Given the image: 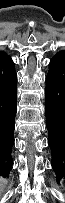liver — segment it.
<instances>
[{
	"label": "liver",
	"instance_id": "1",
	"mask_svg": "<svg viewBox=\"0 0 65 203\" xmlns=\"http://www.w3.org/2000/svg\"><path fill=\"white\" fill-rule=\"evenodd\" d=\"M6 184V181L4 179H1V187L3 188L4 185Z\"/></svg>",
	"mask_w": 65,
	"mask_h": 203
}]
</instances>
